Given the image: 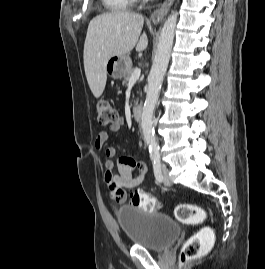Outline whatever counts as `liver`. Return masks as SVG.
<instances>
[{
  "label": "liver",
  "instance_id": "6515ba94",
  "mask_svg": "<svg viewBox=\"0 0 265 269\" xmlns=\"http://www.w3.org/2000/svg\"><path fill=\"white\" fill-rule=\"evenodd\" d=\"M144 17L129 11H113L94 17L88 26L84 44V69L89 87L99 98L106 85V65L113 56H123L136 47L148 46L146 33L141 35Z\"/></svg>",
  "mask_w": 265,
  "mask_h": 269
}]
</instances>
